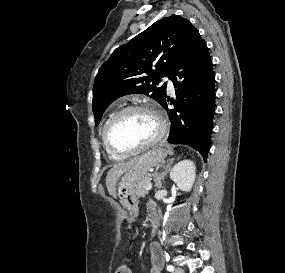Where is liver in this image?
<instances>
[{
  "mask_svg": "<svg viewBox=\"0 0 285 273\" xmlns=\"http://www.w3.org/2000/svg\"><path fill=\"white\" fill-rule=\"evenodd\" d=\"M138 159L139 157H135L127 162L114 164L113 167L108 171L106 176V187L112 197L116 198L117 196L116 184L119 177L131 166H133L138 161Z\"/></svg>",
  "mask_w": 285,
  "mask_h": 273,
  "instance_id": "liver-1",
  "label": "liver"
}]
</instances>
